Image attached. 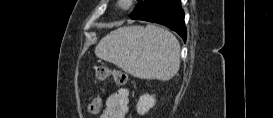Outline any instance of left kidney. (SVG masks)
Wrapping results in <instances>:
<instances>
[{
  "label": "left kidney",
  "mask_w": 273,
  "mask_h": 118,
  "mask_svg": "<svg viewBox=\"0 0 273 118\" xmlns=\"http://www.w3.org/2000/svg\"><path fill=\"white\" fill-rule=\"evenodd\" d=\"M155 105V98L152 95L144 94L139 98L136 105L138 114L144 115Z\"/></svg>",
  "instance_id": "5707ae66"
}]
</instances>
